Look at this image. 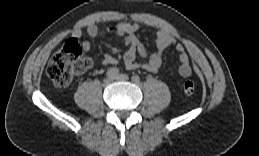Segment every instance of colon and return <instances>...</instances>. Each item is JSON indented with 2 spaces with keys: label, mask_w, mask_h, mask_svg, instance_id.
<instances>
[{
  "label": "colon",
  "mask_w": 259,
  "mask_h": 156,
  "mask_svg": "<svg viewBox=\"0 0 259 156\" xmlns=\"http://www.w3.org/2000/svg\"><path fill=\"white\" fill-rule=\"evenodd\" d=\"M91 65V61L83 56L82 46L76 40H69L49 60L46 73L57 89L67 88L72 79ZM186 95H192L195 85L192 81L183 84Z\"/></svg>",
  "instance_id": "1"
}]
</instances>
